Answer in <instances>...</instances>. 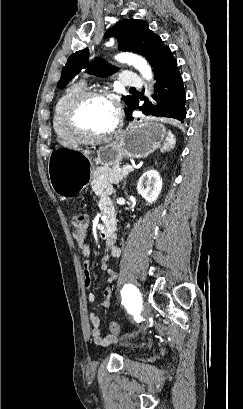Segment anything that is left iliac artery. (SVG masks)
I'll use <instances>...</instances> for the list:
<instances>
[{
	"instance_id": "obj_1",
	"label": "left iliac artery",
	"mask_w": 243,
	"mask_h": 409,
	"mask_svg": "<svg viewBox=\"0 0 243 409\" xmlns=\"http://www.w3.org/2000/svg\"><path fill=\"white\" fill-rule=\"evenodd\" d=\"M136 292H137V294H139V291L137 290V288L135 287V286H133V285H126L124 288H123V290H122V292H121V294L123 295V297H130V298H132L131 300L134 302V304H136V307L138 306V302H139V298L136 300L135 298H134V294H136ZM134 293V294H133ZM140 297V296H139Z\"/></svg>"
}]
</instances>
